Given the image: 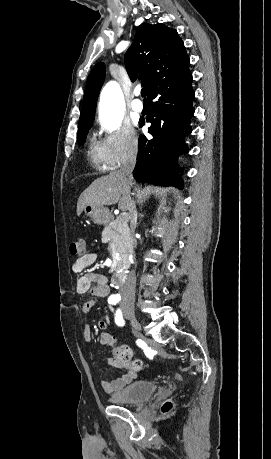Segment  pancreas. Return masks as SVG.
Returning a JSON list of instances; mask_svg holds the SVG:
<instances>
[{"instance_id": "pancreas-1", "label": "pancreas", "mask_w": 271, "mask_h": 459, "mask_svg": "<svg viewBox=\"0 0 271 459\" xmlns=\"http://www.w3.org/2000/svg\"><path fill=\"white\" fill-rule=\"evenodd\" d=\"M128 218L125 216H119L114 222H111L109 226L102 231V239H108L111 244L116 245L118 249V254L120 256H125L128 253V250L125 248L129 241V228H128Z\"/></svg>"}]
</instances>
